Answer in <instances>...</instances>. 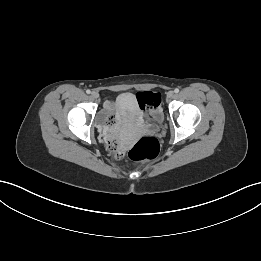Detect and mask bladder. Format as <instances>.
Returning a JSON list of instances; mask_svg holds the SVG:
<instances>
[{"mask_svg": "<svg viewBox=\"0 0 261 261\" xmlns=\"http://www.w3.org/2000/svg\"><path fill=\"white\" fill-rule=\"evenodd\" d=\"M113 111L120 124H135L138 117V104L136 97L130 92L120 93L115 98Z\"/></svg>", "mask_w": 261, "mask_h": 261, "instance_id": "obj_1", "label": "bladder"}]
</instances>
